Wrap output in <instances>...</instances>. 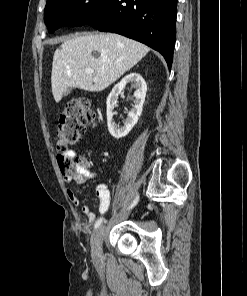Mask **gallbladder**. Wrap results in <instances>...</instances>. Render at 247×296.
<instances>
[{"mask_svg": "<svg viewBox=\"0 0 247 296\" xmlns=\"http://www.w3.org/2000/svg\"><path fill=\"white\" fill-rule=\"evenodd\" d=\"M71 91H72V88L69 87V88L66 90V92L64 93V96H67L68 94H70Z\"/></svg>", "mask_w": 247, "mask_h": 296, "instance_id": "bac80fb5", "label": "gallbladder"}]
</instances>
